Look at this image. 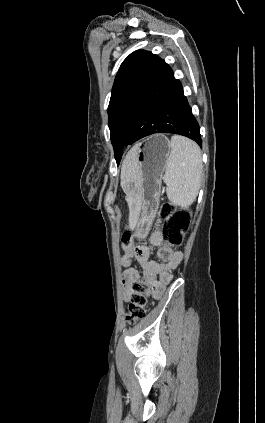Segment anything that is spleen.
Here are the masks:
<instances>
[{"instance_id":"3e777b00","label":"spleen","mask_w":265,"mask_h":423,"mask_svg":"<svg viewBox=\"0 0 265 423\" xmlns=\"http://www.w3.org/2000/svg\"><path fill=\"white\" fill-rule=\"evenodd\" d=\"M202 158L199 146L192 140L174 135L171 152L163 177L166 193L174 206L189 207L196 199L202 176Z\"/></svg>"}]
</instances>
